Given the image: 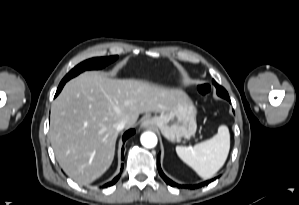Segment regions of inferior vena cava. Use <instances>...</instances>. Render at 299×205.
Returning <instances> with one entry per match:
<instances>
[{
  "label": "inferior vena cava",
  "mask_w": 299,
  "mask_h": 205,
  "mask_svg": "<svg viewBox=\"0 0 299 205\" xmlns=\"http://www.w3.org/2000/svg\"><path fill=\"white\" fill-rule=\"evenodd\" d=\"M126 124H127V121H126V120H122V121H120L119 123H117V124L115 125V128H116L118 131H121V130H123V129L125 128Z\"/></svg>",
  "instance_id": "602c4592"
}]
</instances>
